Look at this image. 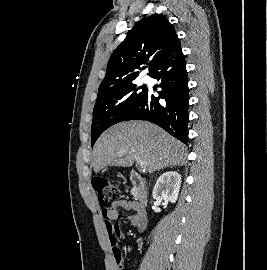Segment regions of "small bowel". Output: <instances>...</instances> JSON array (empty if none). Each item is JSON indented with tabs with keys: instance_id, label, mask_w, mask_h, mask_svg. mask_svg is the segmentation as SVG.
Instances as JSON below:
<instances>
[{
	"instance_id": "c3829d8e",
	"label": "small bowel",
	"mask_w": 267,
	"mask_h": 270,
	"mask_svg": "<svg viewBox=\"0 0 267 270\" xmlns=\"http://www.w3.org/2000/svg\"><path fill=\"white\" fill-rule=\"evenodd\" d=\"M119 208L125 210L133 211L134 214L129 216L130 224L135 227L138 232L143 233L147 228V218L145 213L141 210L138 204L128 200H120L114 202L109 209L103 211V218L105 222V227L109 234V240L111 245L114 247L117 242V239L121 236V231L119 227L114 224V221L120 219L122 215L119 212Z\"/></svg>"
}]
</instances>
